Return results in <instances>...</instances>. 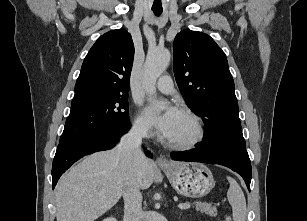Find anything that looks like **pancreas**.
Segmentation results:
<instances>
[{
    "instance_id": "1",
    "label": "pancreas",
    "mask_w": 307,
    "mask_h": 221,
    "mask_svg": "<svg viewBox=\"0 0 307 221\" xmlns=\"http://www.w3.org/2000/svg\"><path fill=\"white\" fill-rule=\"evenodd\" d=\"M196 210L202 213H205L209 216L216 217L217 216V209L210 204L203 203V202H195Z\"/></svg>"
}]
</instances>
